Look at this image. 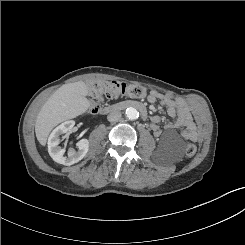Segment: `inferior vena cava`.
<instances>
[{
	"instance_id": "602c4592",
	"label": "inferior vena cava",
	"mask_w": 245,
	"mask_h": 245,
	"mask_svg": "<svg viewBox=\"0 0 245 245\" xmlns=\"http://www.w3.org/2000/svg\"><path fill=\"white\" fill-rule=\"evenodd\" d=\"M120 118H121V112L119 110H113L107 116V119L110 122L118 121Z\"/></svg>"
}]
</instances>
